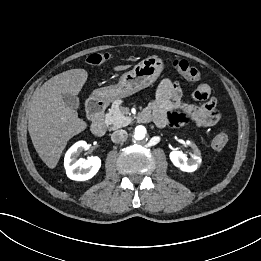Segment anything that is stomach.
Segmentation results:
<instances>
[{"mask_svg": "<svg viewBox=\"0 0 261 261\" xmlns=\"http://www.w3.org/2000/svg\"><path fill=\"white\" fill-rule=\"evenodd\" d=\"M162 70L163 61L159 57H147L135 65L132 70L125 72L116 85L98 88L93 91L91 97L103 103L128 97L153 84Z\"/></svg>", "mask_w": 261, "mask_h": 261, "instance_id": "stomach-1", "label": "stomach"}]
</instances>
